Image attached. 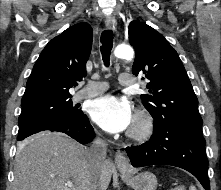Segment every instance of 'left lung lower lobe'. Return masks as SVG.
Segmentation results:
<instances>
[{
    "mask_svg": "<svg viewBox=\"0 0 221 190\" xmlns=\"http://www.w3.org/2000/svg\"><path fill=\"white\" fill-rule=\"evenodd\" d=\"M134 167L171 165L193 174L205 190H210L205 139L177 125H154L152 137L146 143L126 148Z\"/></svg>",
    "mask_w": 221,
    "mask_h": 190,
    "instance_id": "obj_1",
    "label": "left lung lower lobe"
}]
</instances>
